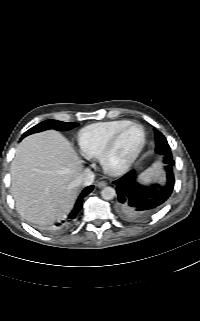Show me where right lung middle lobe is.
Instances as JSON below:
<instances>
[{
	"instance_id": "obj_1",
	"label": "right lung middle lobe",
	"mask_w": 200,
	"mask_h": 321,
	"mask_svg": "<svg viewBox=\"0 0 200 321\" xmlns=\"http://www.w3.org/2000/svg\"><path fill=\"white\" fill-rule=\"evenodd\" d=\"M78 125H79L78 123H67V122H61V121H57V120H46V121H43V122L39 123L38 125L32 127L27 132H25L21 139H23L24 137H26L30 134L41 132V131H44L47 129H55L58 131H67V130H71V129L75 128Z\"/></svg>"
}]
</instances>
